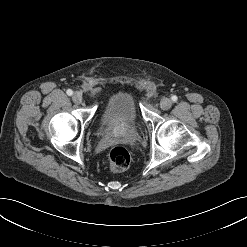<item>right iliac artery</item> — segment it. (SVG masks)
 <instances>
[{
  "mask_svg": "<svg viewBox=\"0 0 247 247\" xmlns=\"http://www.w3.org/2000/svg\"><path fill=\"white\" fill-rule=\"evenodd\" d=\"M66 93H67V95L71 96V95L73 94V91H72L71 89H68V90L66 91Z\"/></svg>",
  "mask_w": 247,
  "mask_h": 247,
  "instance_id": "1",
  "label": "right iliac artery"
}]
</instances>
